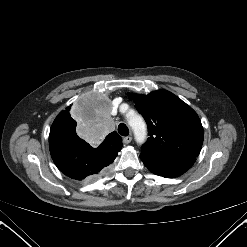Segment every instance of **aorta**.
<instances>
[{"label":"aorta","instance_id":"1","mask_svg":"<svg viewBox=\"0 0 247 247\" xmlns=\"http://www.w3.org/2000/svg\"><path fill=\"white\" fill-rule=\"evenodd\" d=\"M129 124L134 131L136 142L139 144L144 143L147 136V128L144 120L140 116L135 115L129 119Z\"/></svg>","mask_w":247,"mask_h":247}]
</instances>
